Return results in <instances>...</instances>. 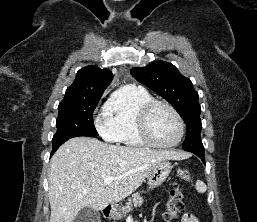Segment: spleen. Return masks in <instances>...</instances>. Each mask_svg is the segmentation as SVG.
I'll use <instances>...</instances> for the list:
<instances>
[{
    "mask_svg": "<svg viewBox=\"0 0 257 222\" xmlns=\"http://www.w3.org/2000/svg\"><path fill=\"white\" fill-rule=\"evenodd\" d=\"M196 190L199 193H204L207 190V186L201 180H197V182H196Z\"/></svg>",
    "mask_w": 257,
    "mask_h": 222,
    "instance_id": "spleen-1",
    "label": "spleen"
}]
</instances>
